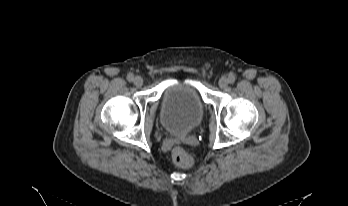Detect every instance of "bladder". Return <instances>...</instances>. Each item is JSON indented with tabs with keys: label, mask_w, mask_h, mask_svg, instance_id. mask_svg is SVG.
Returning a JSON list of instances; mask_svg holds the SVG:
<instances>
[{
	"label": "bladder",
	"mask_w": 348,
	"mask_h": 206,
	"mask_svg": "<svg viewBox=\"0 0 348 206\" xmlns=\"http://www.w3.org/2000/svg\"><path fill=\"white\" fill-rule=\"evenodd\" d=\"M203 101L191 80L170 81L165 90L162 115L166 126L179 133L188 132L201 120Z\"/></svg>",
	"instance_id": "31cf9c89"
}]
</instances>
